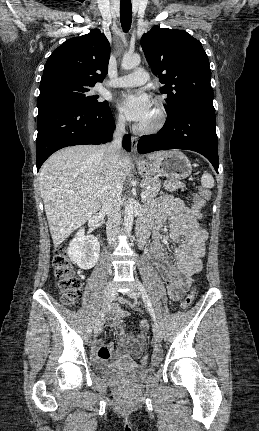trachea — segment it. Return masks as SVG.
<instances>
[{
  "instance_id": "trachea-1",
  "label": "trachea",
  "mask_w": 259,
  "mask_h": 431,
  "mask_svg": "<svg viewBox=\"0 0 259 431\" xmlns=\"http://www.w3.org/2000/svg\"><path fill=\"white\" fill-rule=\"evenodd\" d=\"M121 26L124 32H128L132 22V6L130 0H121L120 2Z\"/></svg>"
}]
</instances>
